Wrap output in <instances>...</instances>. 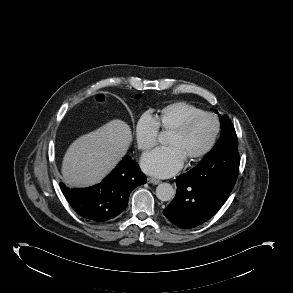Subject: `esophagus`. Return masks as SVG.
I'll return each mask as SVG.
<instances>
[{
	"label": "esophagus",
	"instance_id": "obj_1",
	"mask_svg": "<svg viewBox=\"0 0 293 293\" xmlns=\"http://www.w3.org/2000/svg\"><path fill=\"white\" fill-rule=\"evenodd\" d=\"M147 180H148L149 183H151L153 185H157V184L161 183L160 180H158L156 178H153V177H149Z\"/></svg>",
	"mask_w": 293,
	"mask_h": 293
}]
</instances>
